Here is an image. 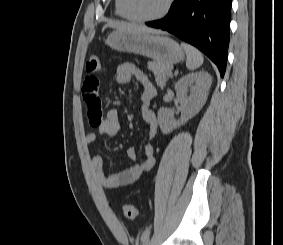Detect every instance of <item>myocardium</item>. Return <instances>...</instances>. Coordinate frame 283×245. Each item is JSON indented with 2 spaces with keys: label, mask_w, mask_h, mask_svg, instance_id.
<instances>
[{
  "label": "myocardium",
  "mask_w": 283,
  "mask_h": 245,
  "mask_svg": "<svg viewBox=\"0 0 283 245\" xmlns=\"http://www.w3.org/2000/svg\"><path fill=\"white\" fill-rule=\"evenodd\" d=\"M173 3H174V0H167L163 9L158 14L151 16V17H140V16L134 15L130 9L129 0H123V8H124L126 15L128 16L130 20L147 23V22H153V21H157V20L164 18L171 10Z\"/></svg>",
  "instance_id": "myocardium-1"
}]
</instances>
